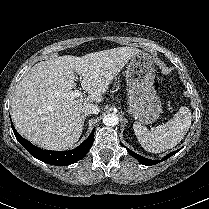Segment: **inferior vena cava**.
<instances>
[{
    "label": "inferior vena cava",
    "mask_w": 209,
    "mask_h": 209,
    "mask_svg": "<svg viewBox=\"0 0 209 209\" xmlns=\"http://www.w3.org/2000/svg\"><path fill=\"white\" fill-rule=\"evenodd\" d=\"M82 111L85 115H89V114H98L100 109L97 105L88 103L84 105Z\"/></svg>",
    "instance_id": "inferior-vena-cava-1"
}]
</instances>
